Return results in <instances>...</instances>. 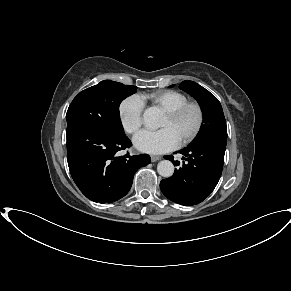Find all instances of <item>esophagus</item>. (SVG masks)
Segmentation results:
<instances>
[{"instance_id": "1", "label": "esophagus", "mask_w": 291, "mask_h": 291, "mask_svg": "<svg viewBox=\"0 0 291 291\" xmlns=\"http://www.w3.org/2000/svg\"><path fill=\"white\" fill-rule=\"evenodd\" d=\"M160 159H161V156H155V155L151 156V161L152 162H156V161H158Z\"/></svg>"}]
</instances>
